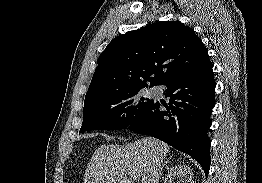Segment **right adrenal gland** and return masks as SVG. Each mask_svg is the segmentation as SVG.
<instances>
[{"label":"right adrenal gland","mask_w":262,"mask_h":183,"mask_svg":"<svg viewBox=\"0 0 262 183\" xmlns=\"http://www.w3.org/2000/svg\"><path fill=\"white\" fill-rule=\"evenodd\" d=\"M167 163H169V161H166V162L163 164V166H164L165 164H167Z\"/></svg>","instance_id":"2a0ac1e0"}]
</instances>
